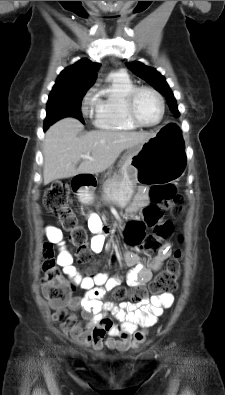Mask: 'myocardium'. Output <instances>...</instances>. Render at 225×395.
<instances>
[{
	"label": "myocardium",
	"instance_id": "obj_1",
	"mask_svg": "<svg viewBox=\"0 0 225 395\" xmlns=\"http://www.w3.org/2000/svg\"><path fill=\"white\" fill-rule=\"evenodd\" d=\"M141 92H149V93L153 94L159 102L160 116H159V119L155 123H152V124L143 123L138 118V116L136 114L135 103H136V99H137L138 95ZM125 112H126L128 119L138 127H143V128L156 127L162 122V120L164 118L165 101H164L162 95L156 89L149 87V86H136L127 94V96L125 98Z\"/></svg>",
	"mask_w": 225,
	"mask_h": 395
}]
</instances>
